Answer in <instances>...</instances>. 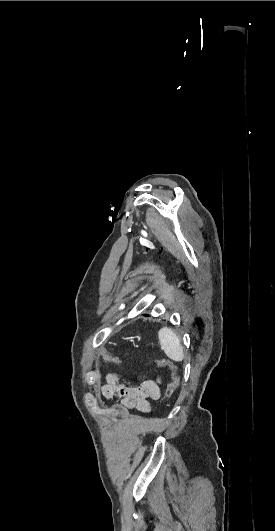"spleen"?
<instances>
[{
	"instance_id": "3e777b00",
	"label": "spleen",
	"mask_w": 275,
	"mask_h": 531,
	"mask_svg": "<svg viewBox=\"0 0 275 531\" xmlns=\"http://www.w3.org/2000/svg\"><path fill=\"white\" fill-rule=\"evenodd\" d=\"M158 337L161 349H163L165 355H167L169 359L177 361V363L183 361V347L180 343L179 337H177L172 329H169V327H163V329H160Z\"/></svg>"
}]
</instances>
